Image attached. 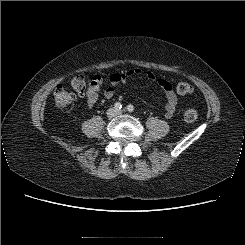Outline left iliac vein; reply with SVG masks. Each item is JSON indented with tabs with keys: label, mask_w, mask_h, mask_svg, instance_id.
<instances>
[{
	"label": "left iliac vein",
	"mask_w": 245,
	"mask_h": 245,
	"mask_svg": "<svg viewBox=\"0 0 245 245\" xmlns=\"http://www.w3.org/2000/svg\"><path fill=\"white\" fill-rule=\"evenodd\" d=\"M117 113H118V114H122V113H123V111L119 110V111H117Z\"/></svg>",
	"instance_id": "1"
}]
</instances>
